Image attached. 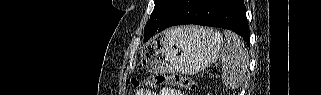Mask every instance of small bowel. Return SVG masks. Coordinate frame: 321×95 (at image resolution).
Instances as JSON below:
<instances>
[{
  "mask_svg": "<svg viewBox=\"0 0 321 95\" xmlns=\"http://www.w3.org/2000/svg\"><path fill=\"white\" fill-rule=\"evenodd\" d=\"M140 95H144V94H148V93H143V92H141V93H139ZM181 93L180 92H178L177 90H175V89H170V88H167V89H164L163 90V92L161 93V95H180ZM148 95H150V94H148Z\"/></svg>",
  "mask_w": 321,
  "mask_h": 95,
  "instance_id": "c3829d8e",
  "label": "small bowel"
}]
</instances>
